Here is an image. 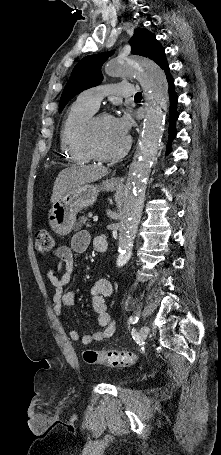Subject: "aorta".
Segmentation results:
<instances>
[{"label": "aorta", "mask_w": 221, "mask_h": 455, "mask_svg": "<svg viewBox=\"0 0 221 455\" xmlns=\"http://www.w3.org/2000/svg\"><path fill=\"white\" fill-rule=\"evenodd\" d=\"M105 72L109 76H136L146 97V116L139 148L129 169L119 226L117 264L122 266L131 256L145 199L147 179L163 137L168 92L164 72L149 59L126 57L113 60L106 64Z\"/></svg>", "instance_id": "aorta-1"}]
</instances>
